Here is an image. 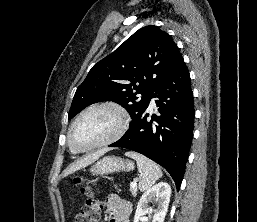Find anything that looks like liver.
Wrapping results in <instances>:
<instances>
[{
  "label": "liver",
  "instance_id": "6515ba94",
  "mask_svg": "<svg viewBox=\"0 0 257 222\" xmlns=\"http://www.w3.org/2000/svg\"><path fill=\"white\" fill-rule=\"evenodd\" d=\"M109 149H102L99 150L95 153H92L90 155H87L86 157L74 162L73 164H71L65 171H64V175L63 176H67L77 170H80L81 168H84L88 165H90L91 163H93L94 161H96L97 159H99V157H101L102 155H104L106 152H108Z\"/></svg>",
  "mask_w": 257,
  "mask_h": 222
}]
</instances>
